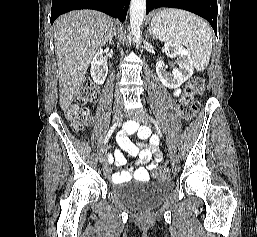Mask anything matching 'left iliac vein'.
<instances>
[{
  "label": "left iliac vein",
  "instance_id": "4c4485c4",
  "mask_svg": "<svg viewBox=\"0 0 257 237\" xmlns=\"http://www.w3.org/2000/svg\"><path fill=\"white\" fill-rule=\"evenodd\" d=\"M125 115L130 116V112L127 111ZM132 118L140 123H146L148 121L147 115L142 111L137 112L135 115L132 116ZM166 143L169 152L172 154L175 153L176 146L174 140L169 135H166Z\"/></svg>",
  "mask_w": 257,
  "mask_h": 237
}]
</instances>
